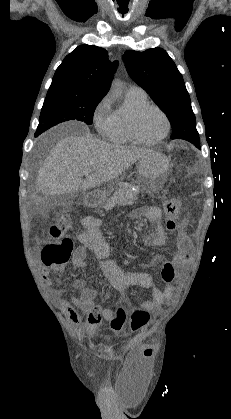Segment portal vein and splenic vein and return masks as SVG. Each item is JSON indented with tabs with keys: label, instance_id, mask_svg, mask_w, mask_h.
Segmentation results:
<instances>
[{
	"label": "portal vein and splenic vein",
	"instance_id": "portal-vein-and-splenic-vein-1",
	"mask_svg": "<svg viewBox=\"0 0 231 419\" xmlns=\"http://www.w3.org/2000/svg\"><path fill=\"white\" fill-rule=\"evenodd\" d=\"M91 173L90 170H84L82 171L81 175H89Z\"/></svg>",
	"mask_w": 231,
	"mask_h": 419
}]
</instances>
